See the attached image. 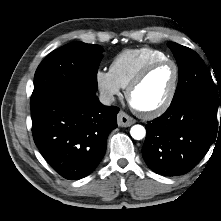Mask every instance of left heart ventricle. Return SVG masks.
I'll list each match as a JSON object with an SVG mask.
<instances>
[{
    "label": "left heart ventricle",
    "mask_w": 221,
    "mask_h": 221,
    "mask_svg": "<svg viewBox=\"0 0 221 221\" xmlns=\"http://www.w3.org/2000/svg\"><path fill=\"white\" fill-rule=\"evenodd\" d=\"M174 78V69L164 64L153 69L132 94V103L139 109L157 107L167 96Z\"/></svg>",
    "instance_id": "b2bd125f"
}]
</instances>
